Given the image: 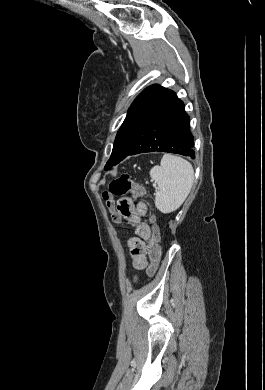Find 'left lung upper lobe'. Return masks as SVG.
Here are the masks:
<instances>
[{
	"instance_id": "5c2ea615",
	"label": "left lung upper lobe",
	"mask_w": 265,
	"mask_h": 390,
	"mask_svg": "<svg viewBox=\"0 0 265 390\" xmlns=\"http://www.w3.org/2000/svg\"><path fill=\"white\" fill-rule=\"evenodd\" d=\"M159 88V85H152L147 87L136 97V99L131 104L127 112V116L116 135L112 154L107 161V164L105 165V170H109L112 166L117 164L121 154L129 144L142 109L152 99Z\"/></svg>"
}]
</instances>
